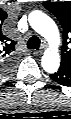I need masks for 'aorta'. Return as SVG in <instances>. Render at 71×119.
<instances>
[{
    "label": "aorta",
    "instance_id": "aorta-1",
    "mask_svg": "<svg viewBox=\"0 0 71 119\" xmlns=\"http://www.w3.org/2000/svg\"><path fill=\"white\" fill-rule=\"evenodd\" d=\"M29 23L31 27L43 36L52 48L60 44L59 30L55 22L41 11H32L29 14ZM41 65L48 73H55L60 66L59 53L53 49L47 50L42 59Z\"/></svg>",
    "mask_w": 71,
    "mask_h": 119
}]
</instances>
